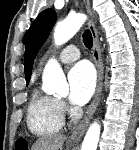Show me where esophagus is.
Segmentation results:
<instances>
[{"mask_svg": "<svg viewBox=\"0 0 139 150\" xmlns=\"http://www.w3.org/2000/svg\"><path fill=\"white\" fill-rule=\"evenodd\" d=\"M83 1L85 4L87 13L90 16L89 28H90V31L92 34V39H93V58H94V62H95L96 68H97V87H96V91H95L94 97L92 99V102L90 103L83 119L74 128L71 135L69 136L68 142L71 144L79 142L81 140L82 136L84 135V133L88 127V124L99 105L101 94H102V89H103V73H104L103 72V62H102V58H101V50H100V45H99V41H98L97 30L94 25V21H93V17H92L90 1L89 0H83Z\"/></svg>", "mask_w": 139, "mask_h": 150, "instance_id": "esophagus-1", "label": "esophagus"}]
</instances>
